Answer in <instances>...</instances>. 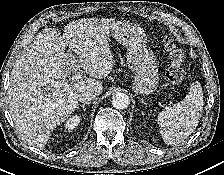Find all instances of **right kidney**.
I'll list each match as a JSON object with an SVG mask.
<instances>
[{
	"label": "right kidney",
	"mask_w": 224,
	"mask_h": 175,
	"mask_svg": "<svg viewBox=\"0 0 224 175\" xmlns=\"http://www.w3.org/2000/svg\"><path fill=\"white\" fill-rule=\"evenodd\" d=\"M81 121V118L74 115L65 121L64 128L67 131L73 130Z\"/></svg>",
	"instance_id": "right-kidney-1"
}]
</instances>
